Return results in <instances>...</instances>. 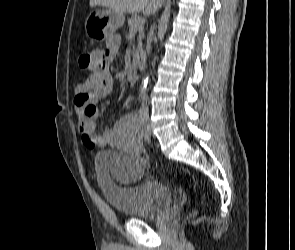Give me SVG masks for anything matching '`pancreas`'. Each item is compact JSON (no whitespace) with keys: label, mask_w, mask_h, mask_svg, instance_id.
<instances>
[{"label":"pancreas","mask_w":295,"mask_h":250,"mask_svg":"<svg viewBox=\"0 0 295 250\" xmlns=\"http://www.w3.org/2000/svg\"><path fill=\"white\" fill-rule=\"evenodd\" d=\"M140 19L138 16H134L128 19L129 29L131 31H138L139 32V39H138V49H142V39H143V25L139 27H135V23Z\"/></svg>","instance_id":"1"}]
</instances>
